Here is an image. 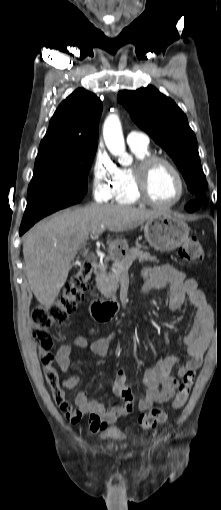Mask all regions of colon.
I'll return each mask as SVG.
<instances>
[{
	"instance_id": "obj_1",
	"label": "colon",
	"mask_w": 221,
	"mask_h": 510,
	"mask_svg": "<svg viewBox=\"0 0 221 510\" xmlns=\"http://www.w3.org/2000/svg\"><path fill=\"white\" fill-rule=\"evenodd\" d=\"M178 254L181 260L189 263H199L204 257L202 246L198 239L194 237L184 242ZM90 278L91 267L88 263H83L78 272L64 286L62 293L54 302L48 305L35 306L31 310V319L34 325L32 336L39 347V359L43 367L45 380L53 388V398L58 406L62 402V396L58 391L59 375L53 365L54 355L52 349L54 342L52 336L45 328L52 324L63 323L68 315L76 309L77 304L83 299L84 293L89 288ZM193 383L194 373L191 371L186 372L170 406L154 407L149 412L142 414L139 417L140 428L142 430H150L164 423L169 409H180L187 402ZM123 395L128 396L129 391H124Z\"/></svg>"
}]
</instances>
